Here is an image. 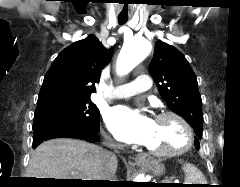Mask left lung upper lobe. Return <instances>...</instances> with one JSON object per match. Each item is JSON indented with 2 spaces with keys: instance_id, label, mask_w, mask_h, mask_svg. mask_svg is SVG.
Listing matches in <instances>:
<instances>
[{
  "instance_id": "obj_1",
  "label": "left lung upper lobe",
  "mask_w": 240,
  "mask_h": 187,
  "mask_svg": "<svg viewBox=\"0 0 240 187\" xmlns=\"http://www.w3.org/2000/svg\"><path fill=\"white\" fill-rule=\"evenodd\" d=\"M149 72L168 107L195 129V144L199 149L203 125L202 99L195 73L185 56L175 47L157 41Z\"/></svg>"
}]
</instances>
